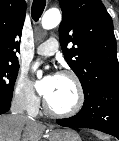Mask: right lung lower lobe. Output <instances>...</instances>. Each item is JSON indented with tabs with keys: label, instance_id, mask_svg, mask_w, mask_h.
<instances>
[{
	"label": "right lung lower lobe",
	"instance_id": "right-lung-lower-lobe-1",
	"mask_svg": "<svg viewBox=\"0 0 119 141\" xmlns=\"http://www.w3.org/2000/svg\"><path fill=\"white\" fill-rule=\"evenodd\" d=\"M12 99H5L0 97V114L7 112L10 109Z\"/></svg>",
	"mask_w": 119,
	"mask_h": 141
}]
</instances>
